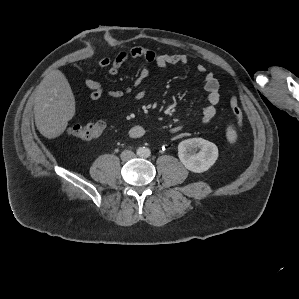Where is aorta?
<instances>
[{
    "label": "aorta",
    "instance_id": "aorta-1",
    "mask_svg": "<svg viewBox=\"0 0 299 299\" xmlns=\"http://www.w3.org/2000/svg\"><path fill=\"white\" fill-rule=\"evenodd\" d=\"M138 155L141 157H149L150 156V150L146 147H140L137 151Z\"/></svg>",
    "mask_w": 299,
    "mask_h": 299
}]
</instances>
